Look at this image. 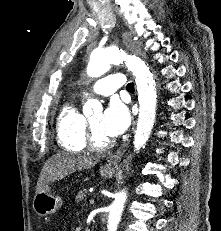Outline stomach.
Returning <instances> with one entry per match:
<instances>
[{"label": "stomach", "mask_w": 221, "mask_h": 231, "mask_svg": "<svg viewBox=\"0 0 221 231\" xmlns=\"http://www.w3.org/2000/svg\"><path fill=\"white\" fill-rule=\"evenodd\" d=\"M100 173L104 178H112L115 169L108 165L100 169ZM63 204L61 197L52 192V188L47 184L39 193L34 196L33 209L39 216H47L55 213Z\"/></svg>", "instance_id": "obj_1"}]
</instances>
